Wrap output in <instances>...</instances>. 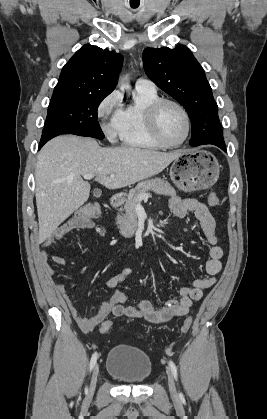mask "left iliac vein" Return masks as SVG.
<instances>
[{
    "label": "left iliac vein",
    "instance_id": "left-iliac-vein-1",
    "mask_svg": "<svg viewBox=\"0 0 267 419\" xmlns=\"http://www.w3.org/2000/svg\"><path fill=\"white\" fill-rule=\"evenodd\" d=\"M167 374H168V387H169L170 394L173 398H177L178 394H177L174 378L170 371H167Z\"/></svg>",
    "mask_w": 267,
    "mask_h": 419
}]
</instances>
